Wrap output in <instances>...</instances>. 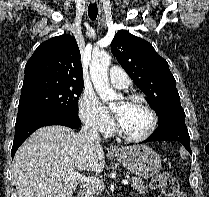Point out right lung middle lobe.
Here are the masks:
<instances>
[{
  "mask_svg": "<svg viewBox=\"0 0 209 197\" xmlns=\"http://www.w3.org/2000/svg\"><path fill=\"white\" fill-rule=\"evenodd\" d=\"M84 83L36 80L23 84L17 120L45 113L61 112L78 116V98Z\"/></svg>",
  "mask_w": 209,
  "mask_h": 197,
  "instance_id": "dd1d6c3e",
  "label": "right lung middle lobe"
}]
</instances>
